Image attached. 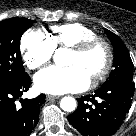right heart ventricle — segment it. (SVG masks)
I'll use <instances>...</instances> for the list:
<instances>
[{
  "mask_svg": "<svg viewBox=\"0 0 136 136\" xmlns=\"http://www.w3.org/2000/svg\"><path fill=\"white\" fill-rule=\"evenodd\" d=\"M96 36L92 28L82 23L71 22L52 26L48 38L54 48H70L83 40Z\"/></svg>",
  "mask_w": 136,
  "mask_h": 136,
  "instance_id": "right-heart-ventricle-1",
  "label": "right heart ventricle"
}]
</instances>
